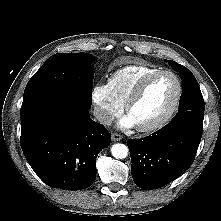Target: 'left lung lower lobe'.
<instances>
[{
  "label": "left lung lower lobe",
  "instance_id": "0a47b994",
  "mask_svg": "<svg viewBox=\"0 0 221 221\" xmlns=\"http://www.w3.org/2000/svg\"><path fill=\"white\" fill-rule=\"evenodd\" d=\"M203 119L204 113L180 112L151 136L128 140L135 184L142 189H156L184 173L195 158Z\"/></svg>",
  "mask_w": 221,
  "mask_h": 221
}]
</instances>
